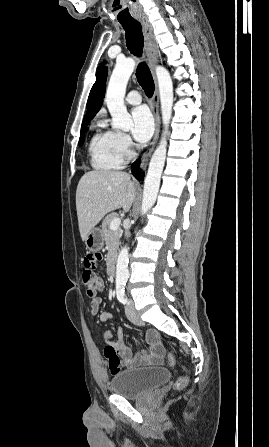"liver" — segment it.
Segmentation results:
<instances>
[{
	"mask_svg": "<svg viewBox=\"0 0 269 447\" xmlns=\"http://www.w3.org/2000/svg\"><path fill=\"white\" fill-rule=\"evenodd\" d=\"M135 198L134 182L126 172H86L76 190V210L82 239L112 212H129Z\"/></svg>",
	"mask_w": 269,
	"mask_h": 447,
	"instance_id": "1",
	"label": "liver"
}]
</instances>
